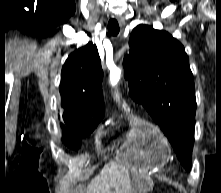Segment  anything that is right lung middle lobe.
Returning <instances> with one entry per match:
<instances>
[{
	"label": "right lung middle lobe",
	"instance_id": "dd1d6c3e",
	"mask_svg": "<svg viewBox=\"0 0 221 193\" xmlns=\"http://www.w3.org/2000/svg\"><path fill=\"white\" fill-rule=\"evenodd\" d=\"M102 118L103 116H98L71 123H65L66 127L64 125L62 126L63 142L72 149H78L80 147L79 138L90 134Z\"/></svg>",
	"mask_w": 221,
	"mask_h": 193
}]
</instances>
